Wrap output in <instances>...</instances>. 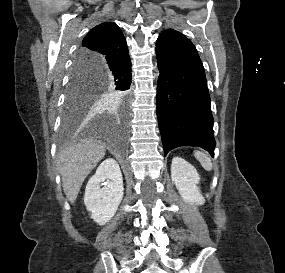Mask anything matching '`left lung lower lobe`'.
<instances>
[{
  "mask_svg": "<svg viewBox=\"0 0 285 273\" xmlns=\"http://www.w3.org/2000/svg\"><path fill=\"white\" fill-rule=\"evenodd\" d=\"M160 75L156 108L164 154L180 145L199 146L214 156L211 100L203 64L193 43L169 29L156 42Z\"/></svg>",
  "mask_w": 285,
  "mask_h": 273,
  "instance_id": "obj_1",
  "label": "left lung lower lobe"
}]
</instances>
